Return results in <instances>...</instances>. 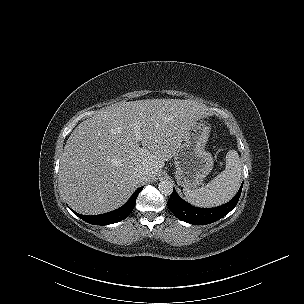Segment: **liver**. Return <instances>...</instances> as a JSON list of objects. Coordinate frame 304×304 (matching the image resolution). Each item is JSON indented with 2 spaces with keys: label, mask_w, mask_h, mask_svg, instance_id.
I'll return each instance as SVG.
<instances>
[{
  "label": "liver",
  "mask_w": 304,
  "mask_h": 304,
  "mask_svg": "<svg viewBox=\"0 0 304 304\" xmlns=\"http://www.w3.org/2000/svg\"><path fill=\"white\" fill-rule=\"evenodd\" d=\"M207 114L203 104L180 99L118 102L101 109L81 122L64 146L59 183L67 203L85 215L119 208L139 185L159 174L189 127ZM141 169L148 172L145 181L137 177Z\"/></svg>",
  "instance_id": "6515ba94"
}]
</instances>
